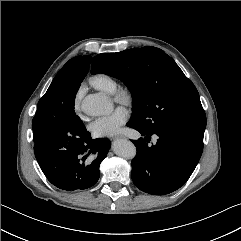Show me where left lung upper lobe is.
<instances>
[{
	"mask_svg": "<svg viewBox=\"0 0 241 241\" xmlns=\"http://www.w3.org/2000/svg\"><path fill=\"white\" fill-rule=\"evenodd\" d=\"M92 74L124 82L133 97V114L146 133L175 125L204 131L206 115L194 84L163 50L146 46L92 59Z\"/></svg>",
	"mask_w": 241,
	"mask_h": 241,
	"instance_id": "1",
	"label": "left lung upper lobe"
}]
</instances>
